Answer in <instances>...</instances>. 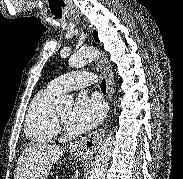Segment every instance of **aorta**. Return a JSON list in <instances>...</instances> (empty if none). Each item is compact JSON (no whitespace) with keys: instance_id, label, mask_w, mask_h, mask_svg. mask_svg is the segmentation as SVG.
Wrapping results in <instances>:
<instances>
[{"instance_id":"aorta-1","label":"aorta","mask_w":183,"mask_h":179,"mask_svg":"<svg viewBox=\"0 0 183 179\" xmlns=\"http://www.w3.org/2000/svg\"><path fill=\"white\" fill-rule=\"evenodd\" d=\"M97 56V50L93 47H88L73 54L69 59V65L72 68H80L92 62ZM73 102V98L69 95L62 96L55 101V106H69ZM113 138L108 134L104 139L90 172L88 179H104L105 171L108 167V162L111 157Z\"/></svg>"}]
</instances>
